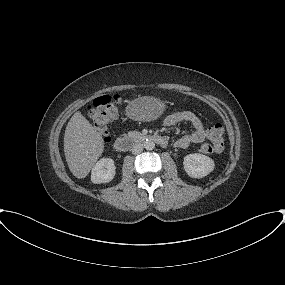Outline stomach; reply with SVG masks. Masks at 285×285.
I'll return each instance as SVG.
<instances>
[{"instance_id": "stomach-1", "label": "stomach", "mask_w": 285, "mask_h": 285, "mask_svg": "<svg viewBox=\"0 0 285 285\" xmlns=\"http://www.w3.org/2000/svg\"><path fill=\"white\" fill-rule=\"evenodd\" d=\"M165 109V102L159 98L143 96L131 101L126 108V113L135 120L152 121L161 116Z\"/></svg>"}]
</instances>
